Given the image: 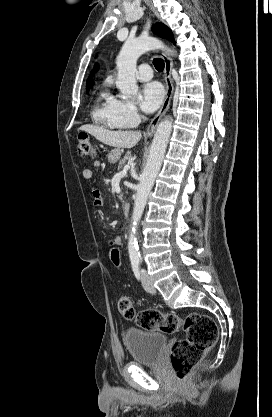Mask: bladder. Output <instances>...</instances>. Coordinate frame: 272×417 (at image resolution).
Listing matches in <instances>:
<instances>
[{
    "mask_svg": "<svg viewBox=\"0 0 272 417\" xmlns=\"http://www.w3.org/2000/svg\"><path fill=\"white\" fill-rule=\"evenodd\" d=\"M124 343L134 362L154 365L163 356L167 337L159 332L129 328L124 333Z\"/></svg>",
    "mask_w": 272,
    "mask_h": 417,
    "instance_id": "1",
    "label": "bladder"
}]
</instances>
